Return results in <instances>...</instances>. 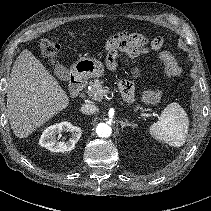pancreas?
I'll use <instances>...</instances> for the list:
<instances>
[{
  "label": "pancreas",
  "instance_id": "cf45deb5",
  "mask_svg": "<svg viewBox=\"0 0 211 211\" xmlns=\"http://www.w3.org/2000/svg\"><path fill=\"white\" fill-rule=\"evenodd\" d=\"M106 92L107 90L103 85V81L94 79L89 82V88L86 93L92 100L101 101ZM139 108L143 109L140 105H137L135 110H138Z\"/></svg>",
  "mask_w": 211,
  "mask_h": 211
}]
</instances>
